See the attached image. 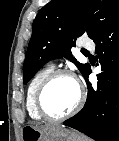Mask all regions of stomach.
I'll list each match as a JSON object with an SVG mask.
<instances>
[{
    "label": "stomach",
    "instance_id": "0dacf381",
    "mask_svg": "<svg viewBox=\"0 0 119 141\" xmlns=\"http://www.w3.org/2000/svg\"><path fill=\"white\" fill-rule=\"evenodd\" d=\"M22 141H86L73 131L60 126L27 125L22 129Z\"/></svg>",
    "mask_w": 119,
    "mask_h": 141
}]
</instances>
